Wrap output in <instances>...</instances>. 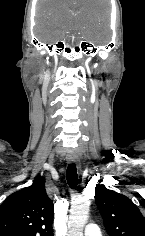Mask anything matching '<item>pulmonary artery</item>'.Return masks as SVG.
Listing matches in <instances>:
<instances>
[{"label": "pulmonary artery", "instance_id": "1", "mask_svg": "<svg viewBox=\"0 0 145 236\" xmlns=\"http://www.w3.org/2000/svg\"><path fill=\"white\" fill-rule=\"evenodd\" d=\"M84 236H102V234L96 224H89L85 227Z\"/></svg>", "mask_w": 145, "mask_h": 236}]
</instances>
